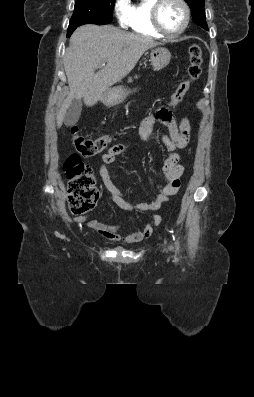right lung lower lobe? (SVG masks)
Listing matches in <instances>:
<instances>
[{
    "mask_svg": "<svg viewBox=\"0 0 254 397\" xmlns=\"http://www.w3.org/2000/svg\"><path fill=\"white\" fill-rule=\"evenodd\" d=\"M76 28H77V27L68 28L67 37H70L71 34L73 33V31H74Z\"/></svg>",
    "mask_w": 254,
    "mask_h": 397,
    "instance_id": "98d812e1",
    "label": "right lung lower lobe"
}]
</instances>
